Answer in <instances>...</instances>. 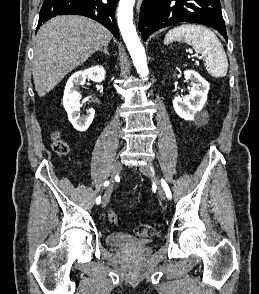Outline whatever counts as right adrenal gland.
Returning a JSON list of instances; mask_svg holds the SVG:
<instances>
[{"label":"right adrenal gland","mask_w":259,"mask_h":294,"mask_svg":"<svg viewBox=\"0 0 259 294\" xmlns=\"http://www.w3.org/2000/svg\"><path fill=\"white\" fill-rule=\"evenodd\" d=\"M99 52H103L105 55H109L108 45L104 46L103 49H100Z\"/></svg>","instance_id":"right-adrenal-gland-1"}]
</instances>
